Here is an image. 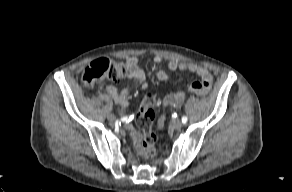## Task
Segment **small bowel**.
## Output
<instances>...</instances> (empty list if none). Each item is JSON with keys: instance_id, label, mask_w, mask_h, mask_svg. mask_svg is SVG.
Wrapping results in <instances>:
<instances>
[{"instance_id": "c3829d8e", "label": "small bowel", "mask_w": 292, "mask_h": 192, "mask_svg": "<svg viewBox=\"0 0 292 192\" xmlns=\"http://www.w3.org/2000/svg\"><path fill=\"white\" fill-rule=\"evenodd\" d=\"M162 58L160 56H155L153 58V62L155 64L161 63ZM123 65L126 67L128 71V76L132 77L136 80V84L141 89H146L147 87V81H146V74L145 71L141 68L139 59L136 57H128ZM167 69L170 71H189L192 73H196L200 77V81H195L191 83L189 90L193 93H196L198 95H205L206 92L211 88L212 84V75L209 72V70L205 67L199 66L197 64L192 63H184V62H177V61H169L167 63ZM168 78V74L165 70H159L157 72V79L159 81H165ZM132 91L131 87H126L122 91H118L114 86L107 85L105 87V92L113 97V99L116 101L118 106L121 109H125L128 106V97ZM184 93L179 91L176 93L169 94L165 96L161 104L162 105H171L175 107H179L182 105L184 101ZM158 123L156 125V128L158 131L163 132L167 128V123L169 121V118L167 115L162 114L158 118ZM128 129L130 130L132 137L136 143V145L140 148L141 147V141L142 137L139 133H137L132 126L128 125ZM151 131V128H150ZM154 141L160 142L163 139L162 134L156 133L153 136Z\"/></svg>"}]
</instances>
